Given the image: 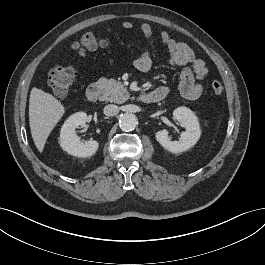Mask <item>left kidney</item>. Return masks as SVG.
<instances>
[{"instance_id": "left-kidney-1", "label": "left kidney", "mask_w": 265, "mask_h": 265, "mask_svg": "<svg viewBox=\"0 0 265 265\" xmlns=\"http://www.w3.org/2000/svg\"><path fill=\"white\" fill-rule=\"evenodd\" d=\"M174 118L186 129L181 133L179 141H172L168 137L167 130L156 132V140L162 147L172 153H180L186 151L196 144L201 135L200 125L198 118L195 114L186 107H178L173 112Z\"/></svg>"}]
</instances>
